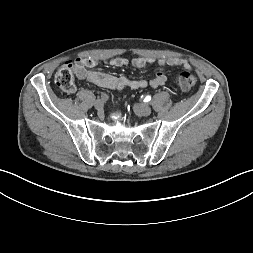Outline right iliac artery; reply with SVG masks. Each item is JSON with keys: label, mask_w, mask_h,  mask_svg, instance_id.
Segmentation results:
<instances>
[{"label": "right iliac artery", "mask_w": 253, "mask_h": 253, "mask_svg": "<svg viewBox=\"0 0 253 253\" xmlns=\"http://www.w3.org/2000/svg\"><path fill=\"white\" fill-rule=\"evenodd\" d=\"M102 99V100H108V98H109V96L106 94V93H102L99 97H98V99Z\"/></svg>", "instance_id": "82829eb1"}]
</instances>
